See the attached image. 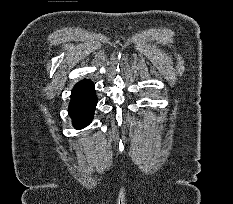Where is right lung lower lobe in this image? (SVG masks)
Segmentation results:
<instances>
[{
	"label": "right lung lower lobe",
	"mask_w": 233,
	"mask_h": 204,
	"mask_svg": "<svg viewBox=\"0 0 233 204\" xmlns=\"http://www.w3.org/2000/svg\"><path fill=\"white\" fill-rule=\"evenodd\" d=\"M96 104L97 99L93 83L90 80L77 83L72 90L69 105V115L76 128H84L91 122Z\"/></svg>",
	"instance_id": "98d812e1"
}]
</instances>
